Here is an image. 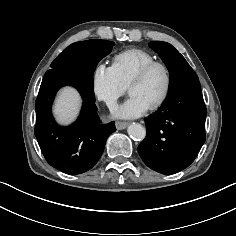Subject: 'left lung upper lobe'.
<instances>
[{
    "label": "left lung upper lobe",
    "instance_id": "5c2ea615",
    "mask_svg": "<svg viewBox=\"0 0 236 236\" xmlns=\"http://www.w3.org/2000/svg\"><path fill=\"white\" fill-rule=\"evenodd\" d=\"M150 45L159 53L170 74V91L179 84L198 79L185 58L169 43L152 41Z\"/></svg>",
    "mask_w": 236,
    "mask_h": 236
}]
</instances>
